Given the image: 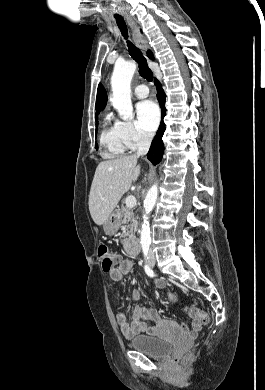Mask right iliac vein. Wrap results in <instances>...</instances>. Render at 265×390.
Segmentation results:
<instances>
[{"label":"right iliac vein","mask_w":265,"mask_h":390,"mask_svg":"<svg viewBox=\"0 0 265 390\" xmlns=\"http://www.w3.org/2000/svg\"><path fill=\"white\" fill-rule=\"evenodd\" d=\"M148 262H149V264H150L151 266H154V265H155V258L149 257V258H148Z\"/></svg>","instance_id":"obj_1"}]
</instances>
